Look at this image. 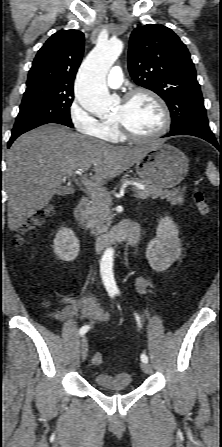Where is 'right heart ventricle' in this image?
Instances as JSON below:
<instances>
[{"mask_svg": "<svg viewBox=\"0 0 222 447\" xmlns=\"http://www.w3.org/2000/svg\"><path fill=\"white\" fill-rule=\"evenodd\" d=\"M96 136L110 142H117L123 139L117 126L111 120L100 122V129Z\"/></svg>", "mask_w": 222, "mask_h": 447, "instance_id": "obj_1", "label": "right heart ventricle"}]
</instances>
